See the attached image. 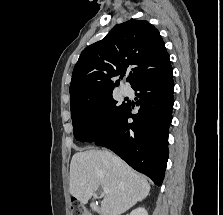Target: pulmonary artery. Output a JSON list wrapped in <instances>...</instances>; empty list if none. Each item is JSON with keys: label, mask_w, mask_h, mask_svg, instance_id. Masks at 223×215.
I'll use <instances>...</instances> for the list:
<instances>
[{"label": "pulmonary artery", "mask_w": 223, "mask_h": 215, "mask_svg": "<svg viewBox=\"0 0 223 215\" xmlns=\"http://www.w3.org/2000/svg\"><path fill=\"white\" fill-rule=\"evenodd\" d=\"M122 92L124 93V94H127V89L126 88H122Z\"/></svg>", "instance_id": "pulmonary-artery-1"}]
</instances>
